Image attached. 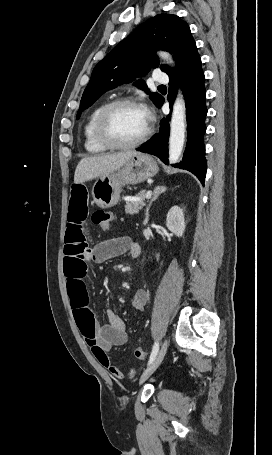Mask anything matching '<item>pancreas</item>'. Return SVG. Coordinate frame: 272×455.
<instances>
[{
	"instance_id": "cf45deb5",
	"label": "pancreas",
	"mask_w": 272,
	"mask_h": 455,
	"mask_svg": "<svg viewBox=\"0 0 272 455\" xmlns=\"http://www.w3.org/2000/svg\"><path fill=\"white\" fill-rule=\"evenodd\" d=\"M137 197V201H127L125 205V212L128 215H134L138 213L145 205L146 191L142 190Z\"/></svg>"
}]
</instances>
